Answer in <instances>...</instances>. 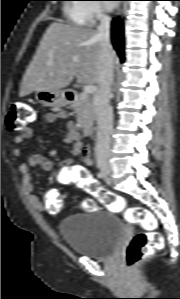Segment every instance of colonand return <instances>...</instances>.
Returning a JSON list of instances; mask_svg holds the SVG:
<instances>
[{
    "instance_id": "obj_1",
    "label": "colon",
    "mask_w": 180,
    "mask_h": 299,
    "mask_svg": "<svg viewBox=\"0 0 180 299\" xmlns=\"http://www.w3.org/2000/svg\"><path fill=\"white\" fill-rule=\"evenodd\" d=\"M36 118V111L33 106L24 102H15L8 109L6 126L10 131H16L27 127ZM80 187L92 195L96 201L114 211L125 210L126 203L123 198L103 188L89 174L83 173L74 178ZM94 199L87 198L82 201L81 208L86 212L97 210L98 204ZM45 209L51 214H58L63 207L60 194L50 190L45 195ZM126 220L131 224L139 225L144 231L135 234L129 241L124 259L127 266L132 267L154 252L163 248V238L155 232L157 222L154 215L142 207H130L125 211Z\"/></svg>"
}]
</instances>
